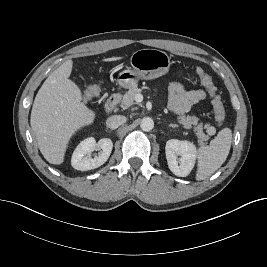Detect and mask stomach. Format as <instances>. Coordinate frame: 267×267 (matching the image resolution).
Instances as JSON below:
<instances>
[{"label":"stomach","mask_w":267,"mask_h":267,"mask_svg":"<svg viewBox=\"0 0 267 267\" xmlns=\"http://www.w3.org/2000/svg\"><path fill=\"white\" fill-rule=\"evenodd\" d=\"M132 69L119 73L118 84L123 88H131L140 79L151 80L165 75L171 65L170 57L164 51L157 49H140L131 58Z\"/></svg>","instance_id":"stomach-1"}]
</instances>
